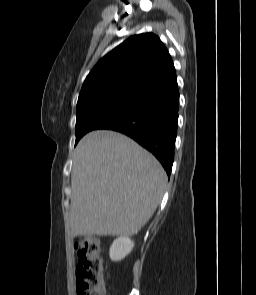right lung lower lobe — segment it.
<instances>
[{
  "label": "right lung lower lobe",
  "instance_id": "98d812e1",
  "mask_svg": "<svg viewBox=\"0 0 256 295\" xmlns=\"http://www.w3.org/2000/svg\"><path fill=\"white\" fill-rule=\"evenodd\" d=\"M179 91L174 65L136 92L133 100L98 129L124 133L152 152L170 175L177 136Z\"/></svg>",
  "mask_w": 256,
  "mask_h": 295
}]
</instances>
